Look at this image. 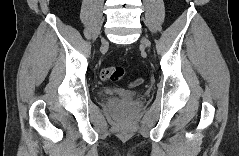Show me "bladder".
<instances>
[{
	"label": "bladder",
	"mask_w": 239,
	"mask_h": 156,
	"mask_svg": "<svg viewBox=\"0 0 239 156\" xmlns=\"http://www.w3.org/2000/svg\"><path fill=\"white\" fill-rule=\"evenodd\" d=\"M114 94L125 95V96L131 97L133 99H137L140 96H142V94L139 93V92L128 93V92H124V91H120V90H115V89H110V88H103V89H100L98 91V95L101 98H104V97H107V96H111V95H114Z\"/></svg>",
	"instance_id": "1"
}]
</instances>
